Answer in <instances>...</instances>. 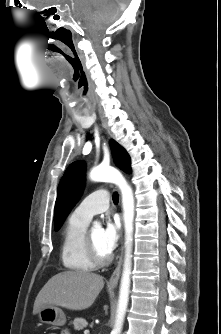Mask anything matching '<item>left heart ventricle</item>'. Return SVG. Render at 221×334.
Wrapping results in <instances>:
<instances>
[{
	"label": "left heart ventricle",
	"mask_w": 221,
	"mask_h": 334,
	"mask_svg": "<svg viewBox=\"0 0 221 334\" xmlns=\"http://www.w3.org/2000/svg\"><path fill=\"white\" fill-rule=\"evenodd\" d=\"M90 235L92 237L93 242L95 243V246L97 247L98 251L103 254L107 255L108 252L105 251V249L102 246V230L98 228H94L90 231Z\"/></svg>",
	"instance_id": "b2bd125f"
}]
</instances>
